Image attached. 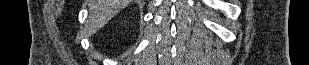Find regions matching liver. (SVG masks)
I'll use <instances>...</instances> for the list:
<instances>
[{"label":"liver","instance_id":"obj_1","mask_svg":"<svg viewBox=\"0 0 309 65\" xmlns=\"http://www.w3.org/2000/svg\"><path fill=\"white\" fill-rule=\"evenodd\" d=\"M129 3L130 0H89L90 17L86 23L88 34L96 33Z\"/></svg>","mask_w":309,"mask_h":65}]
</instances>
